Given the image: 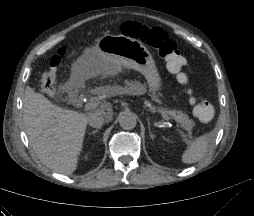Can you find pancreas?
<instances>
[{
	"instance_id": "cf45deb5",
	"label": "pancreas",
	"mask_w": 254,
	"mask_h": 216,
	"mask_svg": "<svg viewBox=\"0 0 254 216\" xmlns=\"http://www.w3.org/2000/svg\"><path fill=\"white\" fill-rule=\"evenodd\" d=\"M129 88L132 91L140 92L142 87L136 83H129ZM115 90V88H111L110 91ZM159 112L165 113L169 117L175 119L179 125L185 129L186 133H183L184 140H187V137L191 138L192 128L194 126V121L189 118V116L182 111L176 110H168L166 108H159Z\"/></svg>"
}]
</instances>
